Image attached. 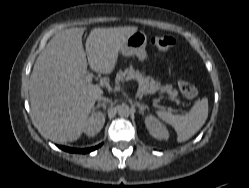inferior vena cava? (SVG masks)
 I'll return each mask as SVG.
<instances>
[{
    "label": "inferior vena cava",
    "mask_w": 249,
    "mask_h": 188,
    "mask_svg": "<svg viewBox=\"0 0 249 188\" xmlns=\"http://www.w3.org/2000/svg\"><path fill=\"white\" fill-rule=\"evenodd\" d=\"M97 100H98V101H105V100H108V99L105 98V97L99 96V97L97 98ZM109 101H110V100H109Z\"/></svg>",
    "instance_id": "inferior-vena-cava-1"
}]
</instances>
